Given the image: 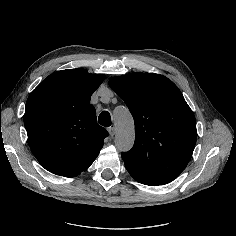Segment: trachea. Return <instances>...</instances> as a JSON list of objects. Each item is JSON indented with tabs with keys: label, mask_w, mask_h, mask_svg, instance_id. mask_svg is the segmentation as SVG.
Wrapping results in <instances>:
<instances>
[{
	"label": "trachea",
	"mask_w": 236,
	"mask_h": 236,
	"mask_svg": "<svg viewBox=\"0 0 236 236\" xmlns=\"http://www.w3.org/2000/svg\"><path fill=\"white\" fill-rule=\"evenodd\" d=\"M98 122L100 125L105 126V127L111 126V117H110L109 112L103 111L98 118Z\"/></svg>",
	"instance_id": "obj_1"
}]
</instances>
